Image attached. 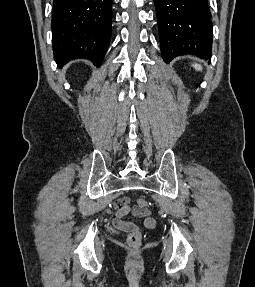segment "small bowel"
I'll list each match as a JSON object with an SVG mask.
<instances>
[{
  "mask_svg": "<svg viewBox=\"0 0 255 287\" xmlns=\"http://www.w3.org/2000/svg\"><path fill=\"white\" fill-rule=\"evenodd\" d=\"M116 215L112 221V226L118 232H134L139 231L140 227L137 224V219H141L145 229H153L156 225V220L151 212L147 209H132L130 200L127 197H122L115 202ZM132 214V218L126 219V216Z\"/></svg>",
  "mask_w": 255,
  "mask_h": 287,
  "instance_id": "1",
  "label": "small bowel"
}]
</instances>
